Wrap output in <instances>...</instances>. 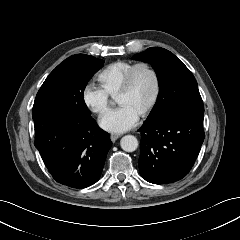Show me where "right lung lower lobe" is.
Wrapping results in <instances>:
<instances>
[{"mask_svg": "<svg viewBox=\"0 0 240 240\" xmlns=\"http://www.w3.org/2000/svg\"><path fill=\"white\" fill-rule=\"evenodd\" d=\"M33 121L35 146L55 181L82 189L99 180L112 142L91 116L38 111Z\"/></svg>", "mask_w": 240, "mask_h": 240, "instance_id": "obj_1", "label": "right lung lower lobe"}]
</instances>
